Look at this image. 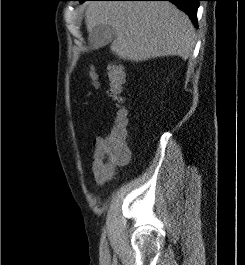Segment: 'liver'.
<instances>
[{"mask_svg": "<svg viewBox=\"0 0 245 265\" xmlns=\"http://www.w3.org/2000/svg\"><path fill=\"white\" fill-rule=\"evenodd\" d=\"M87 30L111 26L116 38L111 50L134 62L180 56L186 60L195 46L189 17L167 1H91L85 12Z\"/></svg>", "mask_w": 245, "mask_h": 265, "instance_id": "1", "label": "liver"}]
</instances>
